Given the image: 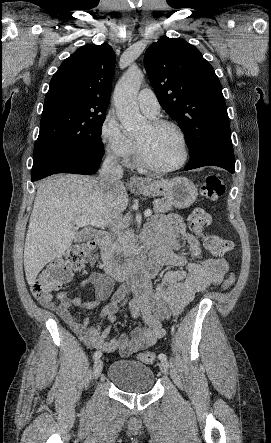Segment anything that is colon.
<instances>
[{
    "mask_svg": "<svg viewBox=\"0 0 271 443\" xmlns=\"http://www.w3.org/2000/svg\"><path fill=\"white\" fill-rule=\"evenodd\" d=\"M225 192L223 181L217 176H208L201 185V194L209 200H216ZM190 223L195 232L199 233L206 249L212 257L222 258L233 249V243L220 235L205 233L212 226L211 215L203 208L195 209L190 215ZM95 245L85 242L68 249L63 255L49 263L31 284V292L37 299L46 298L52 292L59 290L71 278L75 271L80 270L93 256ZM235 282V276L230 274L223 282L222 288L227 290ZM138 359L146 364L155 362L156 356L149 351L141 352Z\"/></svg>",
    "mask_w": 271,
    "mask_h": 443,
    "instance_id": "colon-1",
    "label": "colon"
}]
</instances>
